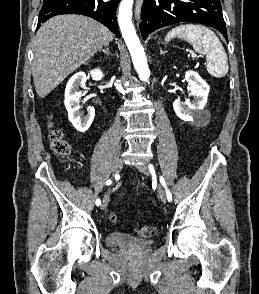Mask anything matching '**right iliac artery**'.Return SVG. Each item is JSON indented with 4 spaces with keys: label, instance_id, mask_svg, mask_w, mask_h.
<instances>
[{
    "label": "right iliac artery",
    "instance_id": "82829eb1",
    "mask_svg": "<svg viewBox=\"0 0 259 294\" xmlns=\"http://www.w3.org/2000/svg\"><path fill=\"white\" fill-rule=\"evenodd\" d=\"M118 177H119V175L117 174V175L115 176V178H118ZM111 183H112L111 180H107V181H106V185H110ZM95 203H96L97 206H99V205L101 204V200H100V199H97Z\"/></svg>",
    "mask_w": 259,
    "mask_h": 294
}]
</instances>
